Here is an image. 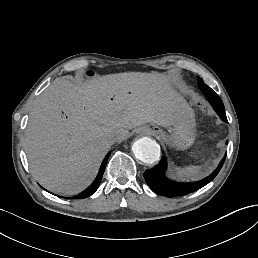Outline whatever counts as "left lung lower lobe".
Returning <instances> with one entry per match:
<instances>
[{"label":"left lung lower lobe","instance_id":"left-lung-lower-lobe-1","mask_svg":"<svg viewBox=\"0 0 258 258\" xmlns=\"http://www.w3.org/2000/svg\"><path fill=\"white\" fill-rule=\"evenodd\" d=\"M198 85L201 91L203 92V94L205 95V97L207 98V100L212 105L213 109L216 111V113L220 116V118L224 122L228 123L227 117L225 114V108L220 97L210 87H208L200 78L198 80ZM225 158H226V154L221 160L217 169L211 175L197 182L177 183L167 179L164 174L167 168L166 158H162V160L159 162L157 166L153 167L152 169L146 170L144 173V178L147 184L149 185V187L155 193H158L164 196H182V195L192 193L202 188L210 181H212L220 171L221 167L223 166Z\"/></svg>","mask_w":258,"mask_h":258}]
</instances>
